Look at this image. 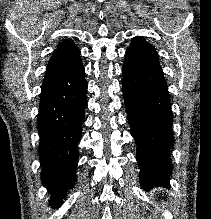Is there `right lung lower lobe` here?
<instances>
[{
	"label": "right lung lower lobe",
	"instance_id": "98d812e1",
	"mask_svg": "<svg viewBox=\"0 0 211 219\" xmlns=\"http://www.w3.org/2000/svg\"><path fill=\"white\" fill-rule=\"evenodd\" d=\"M81 59L45 80L37 128L40 135L41 180L51 194L52 208L60 207L73 187L79 159L77 145L87 106V83Z\"/></svg>",
	"mask_w": 211,
	"mask_h": 219
}]
</instances>
